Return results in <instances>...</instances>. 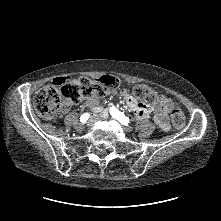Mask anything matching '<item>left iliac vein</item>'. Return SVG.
Listing matches in <instances>:
<instances>
[{"label": "left iliac vein", "mask_w": 221, "mask_h": 221, "mask_svg": "<svg viewBox=\"0 0 221 221\" xmlns=\"http://www.w3.org/2000/svg\"><path fill=\"white\" fill-rule=\"evenodd\" d=\"M106 116H107V114H106ZM106 116H105V117H106ZM124 130L127 131V132H131V131H132V128H131V127H124Z\"/></svg>", "instance_id": "4c4485c4"}]
</instances>
